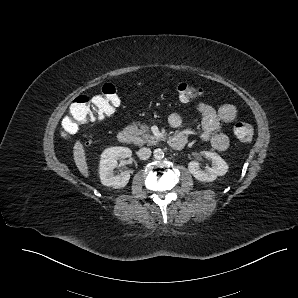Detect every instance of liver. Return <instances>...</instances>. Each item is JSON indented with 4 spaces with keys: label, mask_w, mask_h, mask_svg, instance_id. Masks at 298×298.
<instances>
[{
    "label": "liver",
    "mask_w": 298,
    "mask_h": 298,
    "mask_svg": "<svg viewBox=\"0 0 298 298\" xmlns=\"http://www.w3.org/2000/svg\"><path fill=\"white\" fill-rule=\"evenodd\" d=\"M74 160L76 163V166L78 167L79 171L83 173L84 175L87 174V165L85 162V157H84V151L82 148V145L77 142L74 145Z\"/></svg>",
    "instance_id": "1"
}]
</instances>
